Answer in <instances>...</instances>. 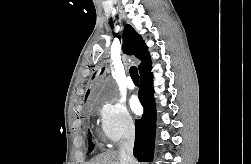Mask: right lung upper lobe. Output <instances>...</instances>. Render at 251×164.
I'll return each mask as SVG.
<instances>
[{
	"label": "right lung upper lobe",
	"instance_id": "1",
	"mask_svg": "<svg viewBox=\"0 0 251 164\" xmlns=\"http://www.w3.org/2000/svg\"><path fill=\"white\" fill-rule=\"evenodd\" d=\"M123 41L124 52L129 55H134L141 60V64L138 67L139 73L151 66L150 55L147 51L146 44L142 40V37L129 24H126L124 27ZM88 94L89 90L87 91L85 98H87Z\"/></svg>",
	"mask_w": 251,
	"mask_h": 164
}]
</instances>
